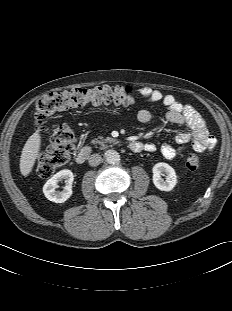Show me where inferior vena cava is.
I'll return each mask as SVG.
<instances>
[{"label":"inferior vena cava","instance_id":"obj_1","mask_svg":"<svg viewBox=\"0 0 232 311\" xmlns=\"http://www.w3.org/2000/svg\"><path fill=\"white\" fill-rule=\"evenodd\" d=\"M102 157L99 154H92L89 156L88 163L90 166H97L100 164Z\"/></svg>","mask_w":232,"mask_h":311}]
</instances>
